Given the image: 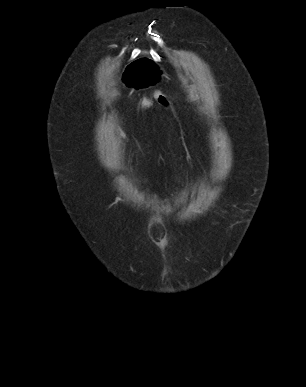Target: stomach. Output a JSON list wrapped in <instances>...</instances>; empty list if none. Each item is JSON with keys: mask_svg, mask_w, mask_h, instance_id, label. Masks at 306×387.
Instances as JSON below:
<instances>
[{"mask_svg": "<svg viewBox=\"0 0 306 387\" xmlns=\"http://www.w3.org/2000/svg\"><path fill=\"white\" fill-rule=\"evenodd\" d=\"M123 66L126 91H148V87H159L167 82L164 75L163 59H151V55H138L137 61Z\"/></svg>", "mask_w": 306, "mask_h": 387, "instance_id": "obj_1", "label": "stomach"}]
</instances>
